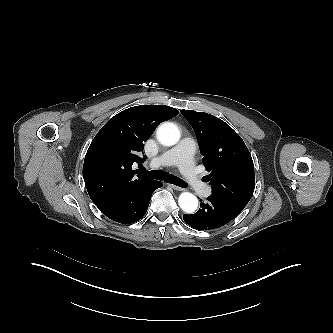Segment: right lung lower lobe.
<instances>
[{
    "instance_id": "1",
    "label": "right lung lower lobe",
    "mask_w": 333,
    "mask_h": 333,
    "mask_svg": "<svg viewBox=\"0 0 333 333\" xmlns=\"http://www.w3.org/2000/svg\"><path fill=\"white\" fill-rule=\"evenodd\" d=\"M160 187L161 182L151 180L99 209L111 220L122 224L134 223L145 215L153 191Z\"/></svg>"
}]
</instances>
